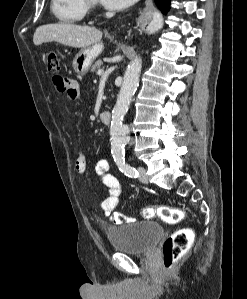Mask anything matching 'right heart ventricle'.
<instances>
[{
    "label": "right heart ventricle",
    "instance_id": "obj_1",
    "mask_svg": "<svg viewBox=\"0 0 247 299\" xmlns=\"http://www.w3.org/2000/svg\"><path fill=\"white\" fill-rule=\"evenodd\" d=\"M51 12L58 22L75 24L84 19L87 7L84 0H51Z\"/></svg>",
    "mask_w": 247,
    "mask_h": 299
}]
</instances>
